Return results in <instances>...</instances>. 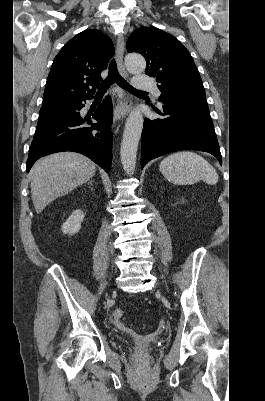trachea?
I'll list each match as a JSON object with an SVG mask.
<instances>
[{
  "mask_svg": "<svg viewBox=\"0 0 265 401\" xmlns=\"http://www.w3.org/2000/svg\"><path fill=\"white\" fill-rule=\"evenodd\" d=\"M113 83H117V85L129 93H147L142 90H137L132 87L122 76L118 73L117 65L114 59L111 60L109 64V75L107 78L98 86V93L106 92L107 88L111 86Z\"/></svg>",
  "mask_w": 265,
  "mask_h": 401,
  "instance_id": "3493384b",
  "label": "trachea"
}]
</instances>
